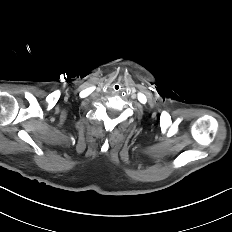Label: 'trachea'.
Returning <instances> with one entry per match:
<instances>
[{"mask_svg":"<svg viewBox=\"0 0 232 232\" xmlns=\"http://www.w3.org/2000/svg\"><path fill=\"white\" fill-rule=\"evenodd\" d=\"M112 90L115 91V92H120L122 90V85L120 83H115L112 86Z\"/></svg>","mask_w":232,"mask_h":232,"instance_id":"trachea-1","label":"trachea"}]
</instances>
